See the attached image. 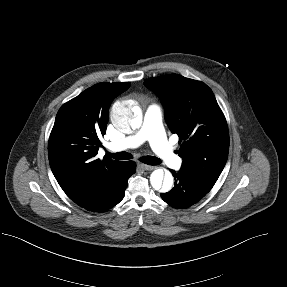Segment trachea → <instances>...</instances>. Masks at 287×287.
<instances>
[{
    "label": "trachea",
    "instance_id": "trachea-1",
    "mask_svg": "<svg viewBox=\"0 0 287 287\" xmlns=\"http://www.w3.org/2000/svg\"><path fill=\"white\" fill-rule=\"evenodd\" d=\"M109 156L116 160H129L132 159V155L127 152L107 153ZM140 161L148 165H158L161 163L160 159L154 156H143Z\"/></svg>",
    "mask_w": 287,
    "mask_h": 287
}]
</instances>
